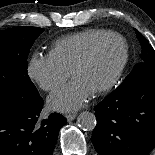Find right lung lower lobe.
I'll list each match as a JSON object with an SVG mask.
<instances>
[{
  "label": "right lung lower lobe",
  "instance_id": "98d812e1",
  "mask_svg": "<svg viewBox=\"0 0 155 155\" xmlns=\"http://www.w3.org/2000/svg\"><path fill=\"white\" fill-rule=\"evenodd\" d=\"M43 99L27 107L0 105V155H51L59 129L67 120L52 113L39 121Z\"/></svg>",
  "mask_w": 155,
  "mask_h": 155
}]
</instances>
